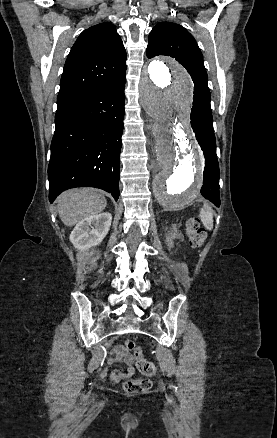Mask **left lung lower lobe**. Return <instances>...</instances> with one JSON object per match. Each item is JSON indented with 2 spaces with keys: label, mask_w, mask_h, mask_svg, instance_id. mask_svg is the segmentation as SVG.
<instances>
[{
  "label": "left lung lower lobe",
  "mask_w": 277,
  "mask_h": 438,
  "mask_svg": "<svg viewBox=\"0 0 277 438\" xmlns=\"http://www.w3.org/2000/svg\"><path fill=\"white\" fill-rule=\"evenodd\" d=\"M191 126L205 157L201 194L216 206H220L219 164L216 156V141L211 111L192 108Z\"/></svg>",
  "instance_id": "left-lung-lower-lobe-1"
}]
</instances>
